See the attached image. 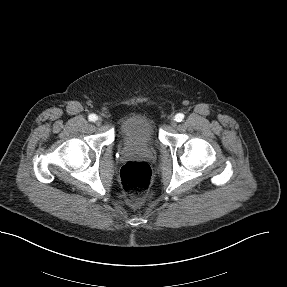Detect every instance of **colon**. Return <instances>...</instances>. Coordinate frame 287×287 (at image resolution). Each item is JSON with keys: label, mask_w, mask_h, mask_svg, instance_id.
<instances>
[{"label": "colon", "mask_w": 287, "mask_h": 287, "mask_svg": "<svg viewBox=\"0 0 287 287\" xmlns=\"http://www.w3.org/2000/svg\"><path fill=\"white\" fill-rule=\"evenodd\" d=\"M151 177V168L145 162L130 161L122 166L120 181L129 203L137 204L145 198Z\"/></svg>", "instance_id": "colon-1"}]
</instances>
